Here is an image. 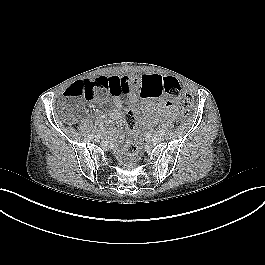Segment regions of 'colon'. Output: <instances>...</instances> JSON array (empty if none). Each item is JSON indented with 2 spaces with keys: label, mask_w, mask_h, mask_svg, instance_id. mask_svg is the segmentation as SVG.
<instances>
[{
  "label": "colon",
  "mask_w": 265,
  "mask_h": 265,
  "mask_svg": "<svg viewBox=\"0 0 265 265\" xmlns=\"http://www.w3.org/2000/svg\"><path fill=\"white\" fill-rule=\"evenodd\" d=\"M157 87L153 91L152 96L158 97L165 95L172 101H175L182 112L188 113L192 107V99L190 95L182 91V87L179 81L173 76H165L160 82H157ZM105 83L91 82L88 80H80L73 83L66 90V96L68 98H85L91 99L94 91L97 89H104ZM136 109H131L125 116V123L130 131V137L127 144L129 166H135L137 164V130H136Z\"/></svg>",
  "instance_id": "obj_1"
}]
</instances>
